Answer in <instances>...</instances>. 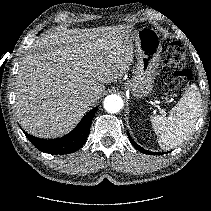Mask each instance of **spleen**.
<instances>
[{
	"instance_id": "spleen-1",
	"label": "spleen",
	"mask_w": 211,
	"mask_h": 211,
	"mask_svg": "<svg viewBox=\"0 0 211 211\" xmlns=\"http://www.w3.org/2000/svg\"><path fill=\"white\" fill-rule=\"evenodd\" d=\"M201 94L192 84L168 116H151L152 127L162 149L182 144L194 131L201 111Z\"/></svg>"
}]
</instances>
